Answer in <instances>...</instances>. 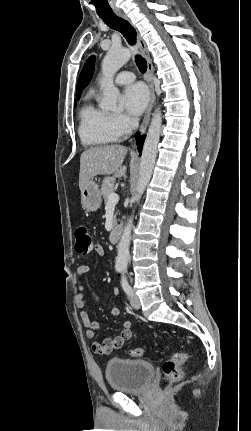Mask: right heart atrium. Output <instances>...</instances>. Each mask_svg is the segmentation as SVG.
Wrapping results in <instances>:
<instances>
[{
    "label": "right heart atrium",
    "instance_id": "right-heart-atrium-1",
    "mask_svg": "<svg viewBox=\"0 0 251 431\" xmlns=\"http://www.w3.org/2000/svg\"><path fill=\"white\" fill-rule=\"evenodd\" d=\"M134 126V121L124 114H111L110 127L115 135L120 138L130 132Z\"/></svg>",
    "mask_w": 251,
    "mask_h": 431
}]
</instances>
